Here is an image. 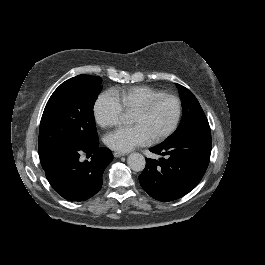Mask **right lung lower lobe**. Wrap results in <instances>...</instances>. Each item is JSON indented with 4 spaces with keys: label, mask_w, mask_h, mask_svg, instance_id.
Returning <instances> with one entry per match:
<instances>
[{
    "label": "right lung lower lobe",
    "mask_w": 265,
    "mask_h": 265,
    "mask_svg": "<svg viewBox=\"0 0 265 265\" xmlns=\"http://www.w3.org/2000/svg\"><path fill=\"white\" fill-rule=\"evenodd\" d=\"M98 142L81 149L51 148L40 154L42 168L52 188L64 199L84 201L102 186V174L112 161L111 151ZM91 156L80 162V153Z\"/></svg>",
    "instance_id": "obj_1"
}]
</instances>
